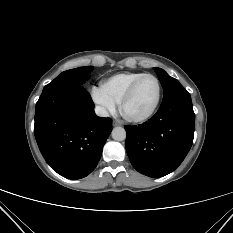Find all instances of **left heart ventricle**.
<instances>
[{
  "mask_svg": "<svg viewBox=\"0 0 233 233\" xmlns=\"http://www.w3.org/2000/svg\"><path fill=\"white\" fill-rule=\"evenodd\" d=\"M157 97V85L152 78L142 80L133 97L126 105V112L132 116H139L147 113L155 103Z\"/></svg>",
  "mask_w": 233,
  "mask_h": 233,
  "instance_id": "1",
  "label": "left heart ventricle"
}]
</instances>
